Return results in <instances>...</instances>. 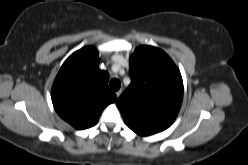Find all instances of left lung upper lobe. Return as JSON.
Returning a JSON list of instances; mask_svg holds the SVG:
<instances>
[{
	"instance_id": "obj_1",
	"label": "left lung upper lobe",
	"mask_w": 248,
	"mask_h": 165,
	"mask_svg": "<svg viewBox=\"0 0 248 165\" xmlns=\"http://www.w3.org/2000/svg\"><path fill=\"white\" fill-rule=\"evenodd\" d=\"M131 84L116 104L134 132L152 135L175 120L183 99L180 71L170 57L153 46H141L130 57Z\"/></svg>"
}]
</instances>
